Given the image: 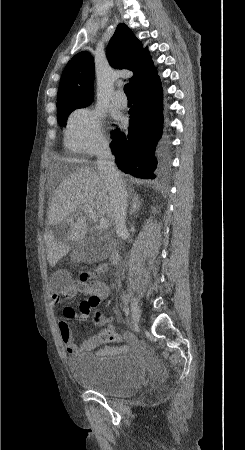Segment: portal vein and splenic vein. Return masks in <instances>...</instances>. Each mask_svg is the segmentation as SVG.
Wrapping results in <instances>:
<instances>
[{
	"label": "portal vein and splenic vein",
	"instance_id": "portal-vein-and-splenic-vein-1",
	"mask_svg": "<svg viewBox=\"0 0 245 450\" xmlns=\"http://www.w3.org/2000/svg\"><path fill=\"white\" fill-rule=\"evenodd\" d=\"M82 211L85 212L89 217H91L94 221L96 220L97 216L96 213L93 211V209L89 206H83L81 207ZM68 222H73V217L69 218ZM109 221L106 218H101L99 220V228L104 229L108 228Z\"/></svg>",
	"mask_w": 245,
	"mask_h": 450
}]
</instances>
